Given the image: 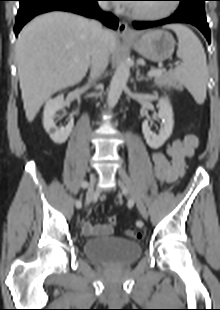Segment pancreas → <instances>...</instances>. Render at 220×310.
<instances>
[{
    "label": "pancreas",
    "instance_id": "cf45deb5",
    "mask_svg": "<svg viewBox=\"0 0 220 310\" xmlns=\"http://www.w3.org/2000/svg\"><path fill=\"white\" fill-rule=\"evenodd\" d=\"M154 82L159 87H165V88L176 87L177 83L176 76L173 71H168L159 76H155Z\"/></svg>",
    "mask_w": 220,
    "mask_h": 310
}]
</instances>
